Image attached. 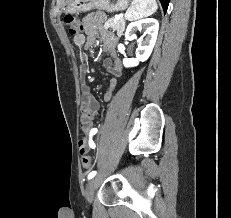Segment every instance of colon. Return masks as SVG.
Returning a JSON list of instances; mask_svg holds the SVG:
<instances>
[{
    "mask_svg": "<svg viewBox=\"0 0 231 218\" xmlns=\"http://www.w3.org/2000/svg\"><path fill=\"white\" fill-rule=\"evenodd\" d=\"M65 24L71 36H78L83 30V24L74 16L67 15L65 17ZM81 153V162L84 168L89 169L92 166V159L86 152Z\"/></svg>",
    "mask_w": 231,
    "mask_h": 218,
    "instance_id": "5ec220e1",
    "label": "colon"
}]
</instances>
